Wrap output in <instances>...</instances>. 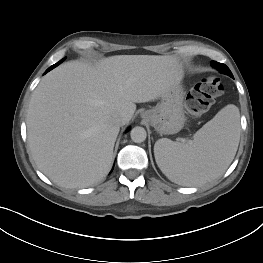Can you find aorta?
Instances as JSON below:
<instances>
[{"label": "aorta", "mask_w": 263, "mask_h": 263, "mask_svg": "<svg viewBox=\"0 0 263 263\" xmlns=\"http://www.w3.org/2000/svg\"><path fill=\"white\" fill-rule=\"evenodd\" d=\"M130 136L133 142L141 143L145 141L147 133L143 127L136 126L131 130Z\"/></svg>", "instance_id": "1"}]
</instances>
